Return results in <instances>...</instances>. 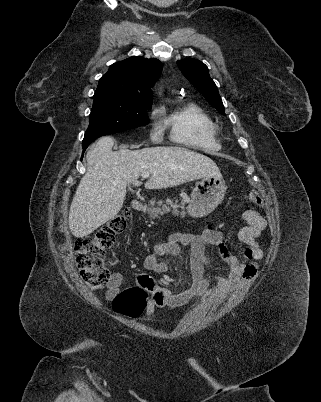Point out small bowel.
Wrapping results in <instances>:
<instances>
[{"instance_id": "small-bowel-1", "label": "small bowel", "mask_w": 321, "mask_h": 402, "mask_svg": "<svg viewBox=\"0 0 321 402\" xmlns=\"http://www.w3.org/2000/svg\"><path fill=\"white\" fill-rule=\"evenodd\" d=\"M245 225L239 230L238 238L245 245L242 257L248 261L243 262L233 254L224 241L220 231L209 227L201 233L176 232L167 240L159 241L154 245L153 252L144 259V267L152 272H166L170 265L161 261L165 255L178 256L181 246L190 247L189 269L192 275V284L189 288L175 293L167 287L158 285L149 276L140 274L137 278L139 284L150 293V299L145 309V316L151 319L157 308H179L194 300H203L211 290L210 280L204 276V267L210 263L208 246L215 247L218 255L226 264L227 273L215 279V289L219 296L224 297L239 289L243 284L254 279L258 273L257 261L263 259L258 237L266 228V220L258 212L247 210L242 215ZM123 276L113 272L108 281L106 296L113 299L120 291Z\"/></svg>"}]
</instances>
